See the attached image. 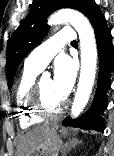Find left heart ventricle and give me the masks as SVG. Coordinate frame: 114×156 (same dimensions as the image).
<instances>
[{
    "label": "left heart ventricle",
    "instance_id": "b2bd125f",
    "mask_svg": "<svg viewBox=\"0 0 114 156\" xmlns=\"http://www.w3.org/2000/svg\"><path fill=\"white\" fill-rule=\"evenodd\" d=\"M41 88L45 98V102L50 109L57 108L63 99H61L54 91L53 80L51 78L41 79Z\"/></svg>",
    "mask_w": 114,
    "mask_h": 156
}]
</instances>
